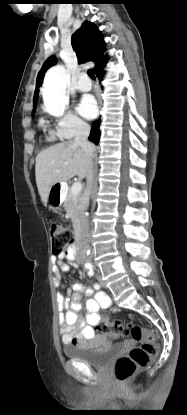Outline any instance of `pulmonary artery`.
<instances>
[{
    "instance_id": "1",
    "label": "pulmonary artery",
    "mask_w": 187,
    "mask_h": 415,
    "mask_svg": "<svg viewBox=\"0 0 187 415\" xmlns=\"http://www.w3.org/2000/svg\"><path fill=\"white\" fill-rule=\"evenodd\" d=\"M75 87L80 92H87L92 88V83L88 79L87 75L85 73H82Z\"/></svg>"
}]
</instances>
